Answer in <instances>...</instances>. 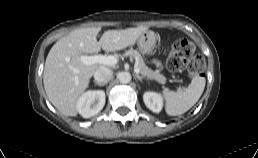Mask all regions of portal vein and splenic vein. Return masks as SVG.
Instances as JSON below:
<instances>
[{
  "mask_svg": "<svg viewBox=\"0 0 258 158\" xmlns=\"http://www.w3.org/2000/svg\"><path fill=\"white\" fill-rule=\"evenodd\" d=\"M80 60L82 63L86 65H91V64H103V65H108V66H113L117 63V58L115 56L109 55H92V56H87V55H82L80 57ZM134 71L136 73H139L140 70L139 68L135 65L134 66Z\"/></svg>",
  "mask_w": 258,
  "mask_h": 158,
  "instance_id": "1",
  "label": "portal vein and splenic vein"
}]
</instances>
